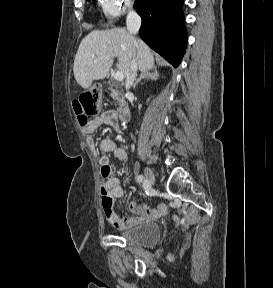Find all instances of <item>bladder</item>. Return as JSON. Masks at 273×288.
I'll return each instance as SVG.
<instances>
[{
	"instance_id": "1",
	"label": "bladder",
	"mask_w": 273,
	"mask_h": 288,
	"mask_svg": "<svg viewBox=\"0 0 273 288\" xmlns=\"http://www.w3.org/2000/svg\"><path fill=\"white\" fill-rule=\"evenodd\" d=\"M118 236L136 247L151 248L160 242L162 234L158 224L143 223L127 228Z\"/></svg>"
}]
</instances>
